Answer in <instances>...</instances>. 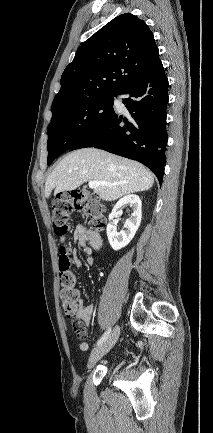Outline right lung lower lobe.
<instances>
[{"label": "right lung lower lobe", "mask_w": 213, "mask_h": 433, "mask_svg": "<svg viewBox=\"0 0 213 433\" xmlns=\"http://www.w3.org/2000/svg\"><path fill=\"white\" fill-rule=\"evenodd\" d=\"M168 85L164 67L158 58L121 93L129 95L123 103L131 118L128 120L114 113L98 131L69 150L95 147L137 160L150 168L161 184L167 146Z\"/></svg>", "instance_id": "right-lung-lower-lobe-1"}]
</instances>
